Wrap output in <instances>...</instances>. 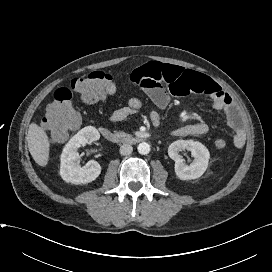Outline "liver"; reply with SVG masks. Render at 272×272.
<instances>
[{
    "instance_id": "1",
    "label": "liver",
    "mask_w": 272,
    "mask_h": 272,
    "mask_svg": "<svg viewBox=\"0 0 272 272\" xmlns=\"http://www.w3.org/2000/svg\"><path fill=\"white\" fill-rule=\"evenodd\" d=\"M28 148L35 162L45 167L49 161L50 142L44 129L31 123L27 134Z\"/></svg>"
}]
</instances>
